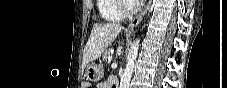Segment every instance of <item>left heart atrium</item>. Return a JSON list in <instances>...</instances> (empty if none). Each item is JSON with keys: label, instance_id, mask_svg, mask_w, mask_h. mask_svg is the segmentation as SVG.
<instances>
[{"label": "left heart atrium", "instance_id": "obj_1", "mask_svg": "<svg viewBox=\"0 0 227 88\" xmlns=\"http://www.w3.org/2000/svg\"><path fill=\"white\" fill-rule=\"evenodd\" d=\"M133 3L138 6L142 3V1L141 0H133Z\"/></svg>", "mask_w": 227, "mask_h": 88}]
</instances>
